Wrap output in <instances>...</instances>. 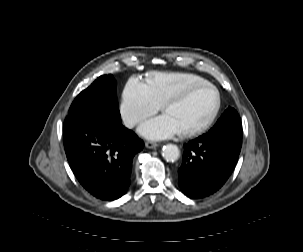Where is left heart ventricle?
<instances>
[{
  "instance_id": "obj_1",
  "label": "left heart ventricle",
  "mask_w": 303,
  "mask_h": 252,
  "mask_svg": "<svg viewBox=\"0 0 303 252\" xmlns=\"http://www.w3.org/2000/svg\"><path fill=\"white\" fill-rule=\"evenodd\" d=\"M215 106V94L209 87L194 91L185 101L172 105L166 114L179 130L192 129L202 125Z\"/></svg>"
}]
</instances>
